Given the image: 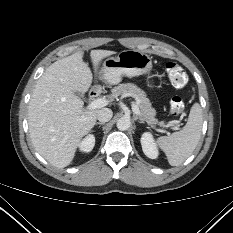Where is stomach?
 Segmentation results:
<instances>
[{"instance_id": "0dacf381", "label": "stomach", "mask_w": 233, "mask_h": 233, "mask_svg": "<svg viewBox=\"0 0 233 233\" xmlns=\"http://www.w3.org/2000/svg\"><path fill=\"white\" fill-rule=\"evenodd\" d=\"M151 57L141 51L124 50L117 57L107 58L101 69V78L108 84H118L123 76L135 77L150 72Z\"/></svg>"}]
</instances>
